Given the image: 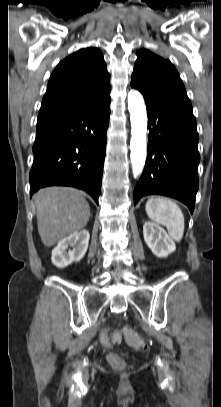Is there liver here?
<instances>
[{
	"label": "liver",
	"instance_id": "1",
	"mask_svg": "<svg viewBox=\"0 0 221 407\" xmlns=\"http://www.w3.org/2000/svg\"><path fill=\"white\" fill-rule=\"evenodd\" d=\"M34 200L38 233L47 247L80 231L89 220V204L76 189L43 188L36 193Z\"/></svg>",
	"mask_w": 221,
	"mask_h": 407
}]
</instances>
